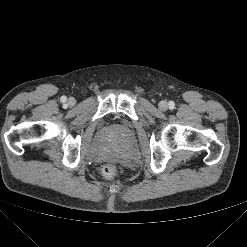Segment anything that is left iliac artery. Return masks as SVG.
<instances>
[{
    "mask_svg": "<svg viewBox=\"0 0 247 247\" xmlns=\"http://www.w3.org/2000/svg\"><path fill=\"white\" fill-rule=\"evenodd\" d=\"M174 106H175V103H174L173 101H170V102H169V107H170V109H173Z\"/></svg>",
    "mask_w": 247,
    "mask_h": 247,
    "instance_id": "44dca946",
    "label": "left iliac artery"
}]
</instances>
